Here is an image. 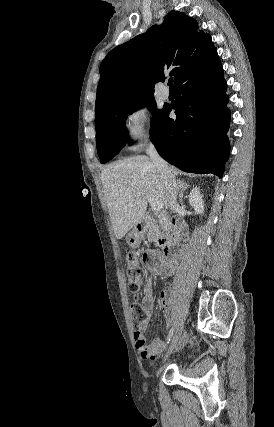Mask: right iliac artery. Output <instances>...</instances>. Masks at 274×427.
I'll use <instances>...</instances> for the list:
<instances>
[{
	"label": "right iliac artery",
	"instance_id": "obj_1",
	"mask_svg": "<svg viewBox=\"0 0 274 427\" xmlns=\"http://www.w3.org/2000/svg\"><path fill=\"white\" fill-rule=\"evenodd\" d=\"M173 331H174V329H173V328H171V329H170V331H169V333H168V336H167V344H169V342H170V340H171V338H172V336H173Z\"/></svg>",
	"mask_w": 274,
	"mask_h": 427
}]
</instances>
